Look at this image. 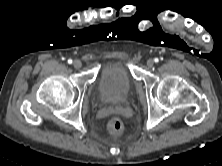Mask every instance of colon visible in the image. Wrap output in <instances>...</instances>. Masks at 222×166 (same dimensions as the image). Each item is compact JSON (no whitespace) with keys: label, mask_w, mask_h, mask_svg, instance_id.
Masks as SVG:
<instances>
[{"label":"colon","mask_w":222,"mask_h":166,"mask_svg":"<svg viewBox=\"0 0 222 166\" xmlns=\"http://www.w3.org/2000/svg\"><path fill=\"white\" fill-rule=\"evenodd\" d=\"M107 128L109 133L116 136L123 132L124 124L120 118L114 117L109 120Z\"/></svg>","instance_id":"obj_1"}]
</instances>
